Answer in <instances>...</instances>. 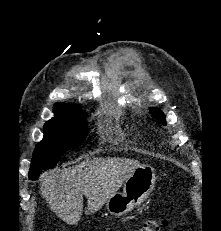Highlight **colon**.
<instances>
[{"mask_svg": "<svg viewBox=\"0 0 221 231\" xmlns=\"http://www.w3.org/2000/svg\"><path fill=\"white\" fill-rule=\"evenodd\" d=\"M165 225L167 221L163 218L151 219L146 221L138 231H160Z\"/></svg>", "mask_w": 221, "mask_h": 231, "instance_id": "colon-1", "label": "colon"}]
</instances>
